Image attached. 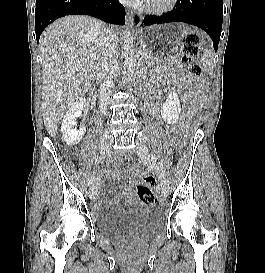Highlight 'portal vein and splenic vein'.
<instances>
[{"mask_svg": "<svg viewBox=\"0 0 265 273\" xmlns=\"http://www.w3.org/2000/svg\"><path fill=\"white\" fill-rule=\"evenodd\" d=\"M141 55H142L143 57H146V56H147V54H146V53H142Z\"/></svg>", "mask_w": 265, "mask_h": 273, "instance_id": "portal-vein-and-splenic-vein-1", "label": "portal vein and splenic vein"}]
</instances>
